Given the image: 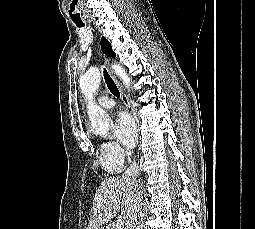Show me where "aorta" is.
<instances>
[{
	"instance_id": "762f6f07",
	"label": "aorta",
	"mask_w": 255,
	"mask_h": 229,
	"mask_svg": "<svg viewBox=\"0 0 255 229\" xmlns=\"http://www.w3.org/2000/svg\"><path fill=\"white\" fill-rule=\"evenodd\" d=\"M112 69L116 73V75L122 80L123 84L130 88L132 80L127 75L125 69L119 64H113ZM100 85V72L97 67H90L88 71L81 77L80 80V88L82 90L83 95L86 97L88 104V115L91 121V125L93 131L103 137L106 138L109 127L111 125V119L109 115L97 106L93 97L97 89Z\"/></svg>"
}]
</instances>
